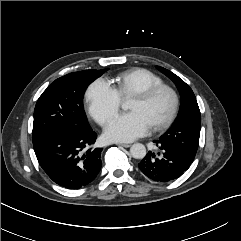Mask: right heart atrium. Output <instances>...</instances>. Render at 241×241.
I'll use <instances>...</instances> for the list:
<instances>
[{"label":"right heart atrium","mask_w":241,"mask_h":241,"mask_svg":"<svg viewBox=\"0 0 241 241\" xmlns=\"http://www.w3.org/2000/svg\"><path fill=\"white\" fill-rule=\"evenodd\" d=\"M88 110L93 119L103 125L119 110L121 97L105 79L99 78L90 84L86 92Z\"/></svg>","instance_id":"1"}]
</instances>
